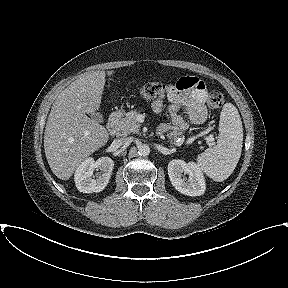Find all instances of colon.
<instances>
[{
  "mask_svg": "<svg viewBox=\"0 0 288 288\" xmlns=\"http://www.w3.org/2000/svg\"><path fill=\"white\" fill-rule=\"evenodd\" d=\"M174 89L175 85L148 82L139 88L138 93L143 100L149 101L165 96ZM207 102L213 109L220 108L224 104V95L218 90H213L209 93Z\"/></svg>",
  "mask_w": 288,
  "mask_h": 288,
  "instance_id": "colon-1",
  "label": "colon"
}]
</instances>
